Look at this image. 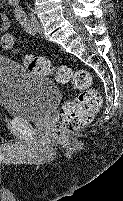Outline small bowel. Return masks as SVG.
Here are the masks:
<instances>
[{
  "label": "small bowel",
  "instance_id": "1",
  "mask_svg": "<svg viewBox=\"0 0 123 201\" xmlns=\"http://www.w3.org/2000/svg\"><path fill=\"white\" fill-rule=\"evenodd\" d=\"M10 25L11 23L9 18L4 13H0V38L2 41L5 37L11 36L7 33L10 28Z\"/></svg>",
  "mask_w": 123,
  "mask_h": 201
}]
</instances>
